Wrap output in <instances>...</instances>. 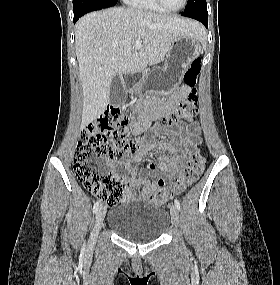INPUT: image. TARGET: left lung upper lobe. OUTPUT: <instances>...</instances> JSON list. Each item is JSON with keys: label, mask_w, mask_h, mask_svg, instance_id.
<instances>
[{"label": "left lung upper lobe", "mask_w": 280, "mask_h": 285, "mask_svg": "<svg viewBox=\"0 0 280 285\" xmlns=\"http://www.w3.org/2000/svg\"><path fill=\"white\" fill-rule=\"evenodd\" d=\"M206 0H188L184 12H192L197 10H206Z\"/></svg>", "instance_id": "obj_1"}]
</instances>
